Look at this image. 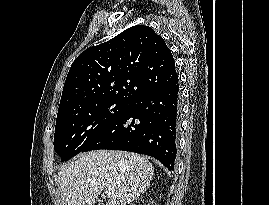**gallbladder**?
<instances>
[{"label": "gallbladder", "instance_id": "1", "mask_svg": "<svg viewBox=\"0 0 269 205\" xmlns=\"http://www.w3.org/2000/svg\"><path fill=\"white\" fill-rule=\"evenodd\" d=\"M98 205H104L102 202H100Z\"/></svg>", "mask_w": 269, "mask_h": 205}]
</instances>
